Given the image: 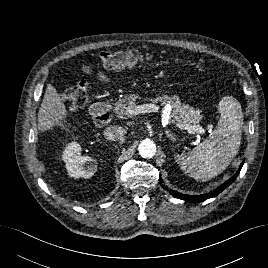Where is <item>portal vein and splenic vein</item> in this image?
Segmentation results:
<instances>
[{
    "mask_svg": "<svg viewBox=\"0 0 268 268\" xmlns=\"http://www.w3.org/2000/svg\"><path fill=\"white\" fill-rule=\"evenodd\" d=\"M160 107L155 104H143V105H131L127 108V113L133 116H136L140 113H150V112H159ZM164 116H168L170 113V108H165L162 110ZM177 127L183 130H187L188 133H203L205 129L201 126L189 125V124H176ZM209 128H211L209 126Z\"/></svg>",
    "mask_w": 268,
    "mask_h": 268,
    "instance_id": "1",
    "label": "portal vein and splenic vein"
}]
</instances>
